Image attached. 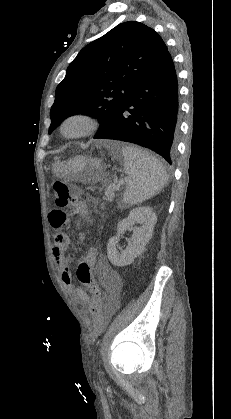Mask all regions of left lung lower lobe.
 Listing matches in <instances>:
<instances>
[{"label": "left lung lower lobe", "mask_w": 231, "mask_h": 419, "mask_svg": "<svg viewBox=\"0 0 231 419\" xmlns=\"http://www.w3.org/2000/svg\"><path fill=\"white\" fill-rule=\"evenodd\" d=\"M178 82L169 52L128 93L111 123L95 139L149 148L172 163L178 134Z\"/></svg>", "instance_id": "0a47b994"}]
</instances>
